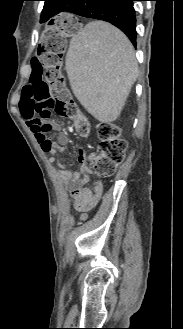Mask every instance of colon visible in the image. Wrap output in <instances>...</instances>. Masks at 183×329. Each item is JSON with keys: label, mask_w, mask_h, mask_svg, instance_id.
<instances>
[{"label": "colon", "mask_w": 183, "mask_h": 329, "mask_svg": "<svg viewBox=\"0 0 183 329\" xmlns=\"http://www.w3.org/2000/svg\"><path fill=\"white\" fill-rule=\"evenodd\" d=\"M81 21L78 14H55L36 32L42 38L35 55H29L30 74L27 86L21 87L20 114L38 115L42 119H50L53 114L74 119L78 132L86 136L89 133L88 123L80 116L74 102L66 89V74L61 65L65 49V38H77ZM43 135L42 148H51V140L46 136L52 126L41 124ZM100 137L96 152L90 156V164L100 178L111 177L116 168L123 162L127 143L120 137V129L114 124L103 123L98 126Z\"/></svg>", "instance_id": "5ec220e1"}]
</instances>
